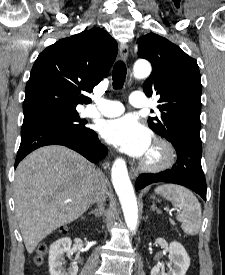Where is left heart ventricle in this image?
<instances>
[{"instance_id": "obj_1", "label": "left heart ventricle", "mask_w": 225, "mask_h": 275, "mask_svg": "<svg viewBox=\"0 0 225 275\" xmlns=\"http://www.w3.org/2000/svg\"><path fill=\"white\" fill-rule=\"evenodd\" d=\"M155 156H156V151L153 148H150V150L148 151L145 157L154 158Z\"/></svg>"}]
</instances>
